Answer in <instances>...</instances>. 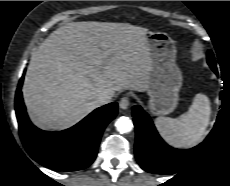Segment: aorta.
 Wrapping results in <instances>:
<instances>
[{
	"instance_id": "1",
	"label": "aorta",
	"mask_w": 230,
	"mask_h": 186,
	"mask_svg": "<svg viewBox=\"0 0 230 186\" xmlns=\"http://www.w3.org/2000/svg\"><path fill=\"white\" fill-rule=\"evenodd\" d=\"M116 129L119 133H128L132 130L133 124L130 118L122 116L116 120Z\"/></svg>"
}]
</instances>
